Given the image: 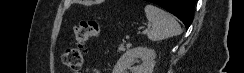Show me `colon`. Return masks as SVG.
<instances>
[{
  "label": "colon",
  "instance_id": "5ec220e1",
  "mask_svg": "<svg viewBox=\"0 0 244 73\" xmlns=\"http://www.w3.org/2000/svg\"><path fill=\"white\" fill-rule=\"evenodd\" d=\"M100 34V25L96 20H83L74 28L75 44L65 49L62 62L77 73L82 69L86 44Z\"/></svg>",
  "mask_w": 244,
  "mask_h": 73
}]
</instances>
